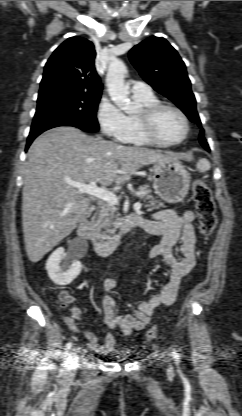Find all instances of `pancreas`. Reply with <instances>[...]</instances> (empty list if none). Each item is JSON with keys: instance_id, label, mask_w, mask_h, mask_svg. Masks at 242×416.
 <instances>
[{"instance_id": "pancreas-1", "label": "pancreas", "mask_w": 242, "mask_h": 416, "mask_svg": "<svg viewBox=\"0 0 242 416\" xmlns=\"http://www.w3.org/2000/svg\"><path fill=\"white\" fill-rule=\"evenodd\" d=\"M139 192H143V194H136V196L142 199L144 202H147L145 207L148 208L149 211L164 207V203L151 194L149 185L140 187ZM119 216L120 214L118 213V208L115 207V205L102 203L99 206L98 211L91 219L92 229L95 231L98 237L101 239H107V233H113L115 231V228H109L111 226L116 227L122 221ZM103 229L106 231H103Z\"/></svg>"}]
</instances>
